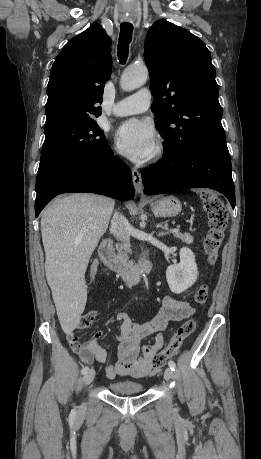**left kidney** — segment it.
Returning <instances> with one entry per match:
<instances>
[{
	"instance_id": "1",
	"label": "left kidney",
	"mask_w": 261,
	"mask_h": 459,
	"mask_svg": "<svg viewBox=\"0 0 261 459\" xmlns=\"http://www.w3.org/2000/svg\"><path fill=\"white\" fill-rule=\"evenodd\" d=\"M179 255L180 263L170 265L166 270L169 288L175 294H180L190 288L198 277L195 255L192 250L183 247Z\"/></svg>"
}]
</instances>
